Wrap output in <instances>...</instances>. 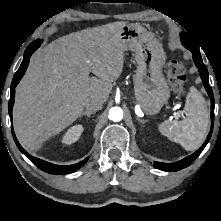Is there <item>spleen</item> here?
Here are the masks:
<instances>
[{"instance_id": "spleen-1", "label": "spleen", "mask_w": 221, "mask_h": 221, "mask_svg": "<svg viewBox=\"0 0 221 221\" xmlns=\"http://www.w3.org/2000/svg\"><path fill=\"white\" fill-rule=\"evenodd\" d=\"M182 120H165L158 128L162 135L192 151L203 143L208 126L209 110L203 96L191 88L186 96Z\"/></svg>"}]
</instances>
